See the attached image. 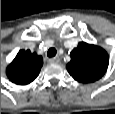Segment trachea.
<instances>
[{
	"label": "trachea",
	"instance_id": "3493384b",
	"mask_svg": "<svg viewBox=\"0 0 115 114\" xmlns=\"http://www.w3.org/2000/svg\"><path fill=\"white\" fill-rule=\"evenodd\" d=\"M56 53H57V51H56L55 48H50V49L48 50V52H47V56H48L49 58H52V57H54V56L56 55Z\"/></svg>",
	"mask_w": 115,
	"mask_h": 114
}]
</instances>
